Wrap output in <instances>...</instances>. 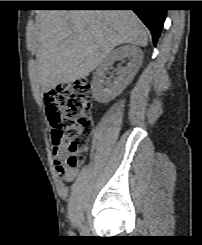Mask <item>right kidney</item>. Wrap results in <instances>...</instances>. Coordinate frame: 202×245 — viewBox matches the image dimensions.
Wrapping results in <instances>:
<instances>
[{"instance_id":"obj_1","label":"right kidney","mask_w":202,"mask_h":245,"mask_svg":"<svg viewBox=\"0 0 202 245\" xmlns=\"http://www.w3.org/2000/svg\"><path fill=\"white\" fill-rule=\"evenodd\" d=\"M128 58L127 66L120 67L114 82L105 79L106 71L115 61ZM143 53L136 46L125 45L110 52L93 74L91 89L96 101L107 103L117 97L132 81L142 63Z\"/></svg>"}]
</instances>
